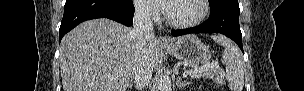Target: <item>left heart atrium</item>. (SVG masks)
Here are the masks:
<instances>
[{
    "label": "left heart atrium",
    "mask_w": 304,
    "mask_h": 91,
    "mask_svg": "<svg viewBox=\"0 0 304 91\" xmlns=\"http://www.w3.org/2000/svg\"><path fill=\"white\" fill-rule=\"evenodd\" d=\"M147 2L161 9H165L167 7V5L165 4V0H149Z\"/></svg>",
    "instance_id": "1"
}]
</instances>
